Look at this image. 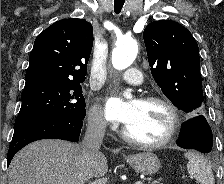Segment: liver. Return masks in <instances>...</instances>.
Instances as JSON below:
<instances>
[{
  "label": "liver",
  "mask_w": 224,
  "mask_h": 184,
  "mask_svg": "<svg viewBox=\"0 0 224 184\" xmlns=\"http://www.w3.org/2000/svg\"><path fill=\"white\" fill-rule=\"evenodd\" d=\"M107 171L103 153L98 152L92 157L87 167L79 145L45 139L29 144L13 157L8 169V183L84 184L89 178L104 176Z\"/></svg>",
  "instance_id": "obj_1"
}]
</instances>
